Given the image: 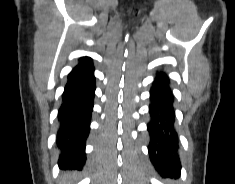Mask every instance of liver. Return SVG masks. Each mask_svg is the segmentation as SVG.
I'll return each instance as SVG.
<instances>
[{
    "mask_svg": "<svg viewBox=\"0 0 235 184\" xmlns=\"http://www.w3.org/2000/svg\"><path fill=\"white\" fill-rule=\"evenodd\" d=\"M68 180H70L69 176H63L62 184H67Z\"/></svg>",
    "mask_w": 235,
    "mask_h": 184,
    "instance_id": "6515ba94",
    "label": "liver"
}]
</instances>
